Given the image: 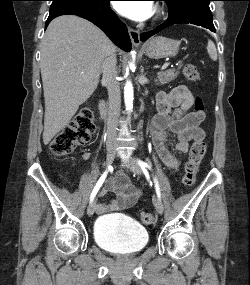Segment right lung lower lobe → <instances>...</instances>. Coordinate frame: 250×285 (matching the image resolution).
<instances>
[{"mask_svg":"<svg viewBox=\"0 0 250 285\" xmlns=\"http://www.w3.org/2000/svg\"><path fill=\"white\" fill-rule=\"evenodd\" d=\"M110 0H104L94 7L69 8L54 14H49L45 28L51 20L61 15H77L97 25L117 46L125 51L131 50V41L126 26L117 18L109 5Z\"/></svg>","mask_w":250,"mask_h":285,"instance_id":"obj_1","label":"right lung lower lobe"}]
</instances>
